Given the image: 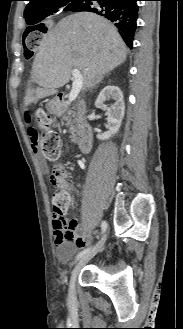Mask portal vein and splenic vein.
<instances>
[{"label": "portal vein and splenic vein", "mask_w": 183, "mask_h": 329, "mask_svg": "<svg viewBox=\"0 0 183 329\" xmlns=\"http://www.w3.org/2000/svg\"><path fill=\"white\" fill-rule=\"evenodd\" d=\"M71 73L72 76L74 77V81L68 98L70 102L74 101L77 98L83 86V75L80 73V71L78 69H73Z\"/></svg>", "instance_id": "1"}]
</instances>
